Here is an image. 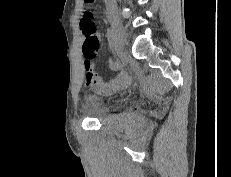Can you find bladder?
I'll return each mask as SVG.
<instances>
[{"label": "bladder", "mask_w": 231, "mask_h": 177, "mask_svg": "<svg viewBox=\"0 0 231 177\" xmlns=\"http://www.w3.org/2000/svg\"><path fill=\"white\" fill-rule=\"evenodd\" d=\"M82 105L86 110L92 113H98L104 107L105 102L95 93H85L82 98Z\"/></svg>", "instance_id": "obj_1"}]
</instances>
